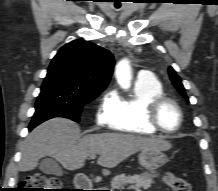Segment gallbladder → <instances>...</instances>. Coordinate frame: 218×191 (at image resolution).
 Masks as SVG:
<instances>
[{
  "label": "gallbladder",
  "instance_id": "1",
  "mask_svg": "<svg viewBox=\"0 0 218 191\" xmlns=\"http://www.w3.org/2000/svg\"><path fill=\"white\" fill-rule=\"evenodd\" d=\"M39 169L45 174L62 175V169L53 158H45L39 163Z\"/></svg>",
  "mask_w": 218,
  "mask_h": 191
}]
</instances>
